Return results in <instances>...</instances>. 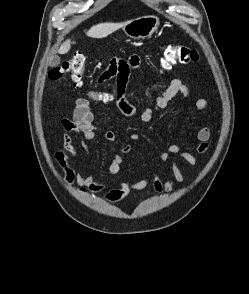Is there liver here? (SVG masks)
<instances>
[{
    "instance_id": "liver-1",
    "label": "liver",
    "mask_w": 249,
    "mask_h": 294,
    "mask_svg": "<svg viewBox=\"0 0 249 294\" xmlns=\"http://www.w3.org/2000/svg\"><path fill=\"white\" fill-rule=\"evenodd\" d=\"M125 23H100L97 25L92 26L87 32V36L93 37V38H104L108 35L112 34L116 30H118L120 27L124 26ZM71 47V41L66 40L61 47L59 48L58 52L60 54H65L70 50Z\"/></svg>"
}]
</instances>
